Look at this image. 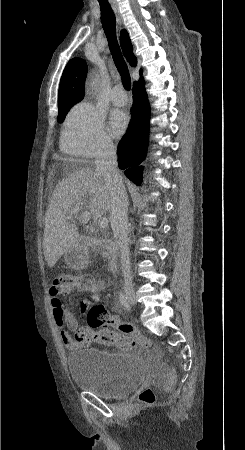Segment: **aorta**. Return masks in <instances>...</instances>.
Returning a JSON list of instances; mask_svg holds the SVG:
<instances>
[{"label": "aorta", "mask_w": 245, "mask_h": 450, "mask_svg": "<svg viewBox=\"0 0 245 450\" xmlns=\"http://www.w3.org/2000/svg\"><path fill=\"white\" fill-rule=\"evenodd\" d=\"M94 85H95V82L92 83V86H94Z\"/></svg>", "instance_id": "762f6f07"}]
</instances>
